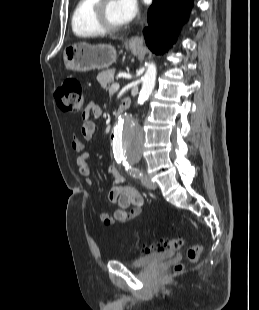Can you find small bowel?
Segmentation results:
<instances>
[{
  "label": "small bowel",
  "instance_id": "obj_1",
  "mask_svg": "<svg viewBox=\"0 0 259 310\" xmlns=\"http://www.w3.org/2000/svg\"><path fill=\"white\" fill-rule=\"evenodd\" d=\"M101 108L94 102H90L82 114L81 134L85 140H90L95 131V124L90 119L91 116L100 117ZM83 142L76 135L72 137L71 148L76 153V164L81 177L88 185L93 184L89 167V154L83 152ZM108 172L114 178V184L108 193V200L113 204H117L118 208L110 215L107 212L99 214L100 221L105 225H113L117 222H126L136 218L142 211L143 197L133 187L127 184L125 178L120 174L118 169L110 164L107 166Z\"/></svg>",
  "mask_w": 259,
  "mask_h": 310
}]
</instances>
